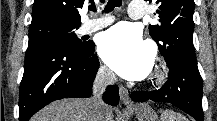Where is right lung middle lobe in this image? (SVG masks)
I'll use <instances>...</instances> for the list:
<instances>
[{
    "label": "right lung middle lobe",
    "instance_id": "1",
    "mask_svg": "<svg viewBox=\"0 0 217 121\" xmlns=\"http://www.w3.org/2000/svg\"><path fill=\"white\" fill-rule=\"evenodd\" d=\"M81 24H73L56 19H44L31 22L29 27L28 48L44 44H65L81 47L84 42L77 37L75 31Z\"/></svg>",
    "mask_w": 217,
    "mask_h": 121
}]
</instances>
